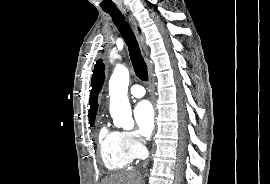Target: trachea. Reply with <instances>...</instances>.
I'll list each match as a JSON object with an SVG mask.
<instances>
[{"label": "trachea", "mask_w": 270, "mask_h": 184, "mask_svg": "<svg viewBox=\"0 0 270 184\" xmlns=\"http://www.w3.org/2000/svg\"><path fill=\"white\" fill-rule=\"evenodd\" d=\"M112 17L113 22L120 31L122 37L124 38L130 53V58L134 71L137 77L143 81L148 80L147 65L140 54V49L134 33L130 28L129 24L125 21L124 16L118 9H108L105 10Z\"/></svg>", "instance_id": "trachea-1"}]
</instances>
